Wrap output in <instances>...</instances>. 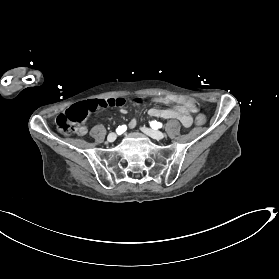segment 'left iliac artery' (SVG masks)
Segmentation results:
<instances>
[{
  "instance_id": "1",
  "label": "left iliac artery",
  "mask_w": 279,
  "mask_h": 279,
  "mask_svg": "<svg viewBox=\"0 0 279 279\" xmlns=\"http://www.w3.org/2000/svg\"><path fill=\"white\" fill-rule=\"evenodd\" d=\"M150 126L153 128V129H159V128H162L163 124L158 122V121H151L150 122Z\"/></svg>"
}]
</instances>
